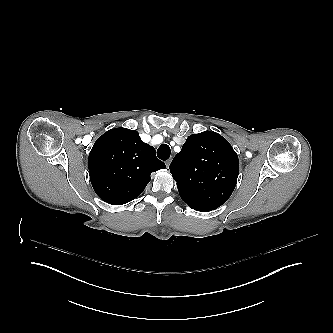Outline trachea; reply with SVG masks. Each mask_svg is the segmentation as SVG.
Instances as JSON below:
<instances>
[{"mask_svg":"<svg viewBox=\"0 0 333 333\" xmlns=\"http://www.w3.org/2000/svg\"><path fill=\"white\" fill-rule=\"evenodd\" d=\"M171 150L167 144H162L157 150V156L161 160H167L170 157Z\"/></svg>","mask_w":333,"mask_h":333,"instance_id":"1","label":"trachea"}]
</instances>
